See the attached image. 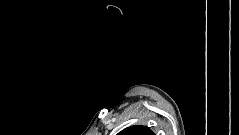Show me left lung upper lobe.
I'll list each match as a JSON object with an SVG mask.
<instances>
[{
	"instance_id": "5c2ea615",
	"label": "left lung upper lobe",
	"mask_w": 239,
	"mask_h": 135,
	"mask_svg": "<svg viewBox=\"0 0 239 135\" xmlns=\"http://www.w3.org/2000/svg\"><path fill=\"white\" fill-rule=\"evenodd\" d=\"M117 135H155V134L148 127L142 125H135L125 128Z\"/></svg>"
}]
</instances>
